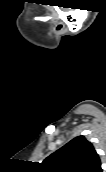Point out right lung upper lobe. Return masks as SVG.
<instances>
[{
  "mask_svg": "<svg viewBox=\"0 0 106 172\" xmlns=\"http://www.w3.org/2000/svg\"><path fill=\"white\" fill-rule=\"evenodd\" d=\"M45 172H103L92 143L78 136L48 156L41 165Z\"/></svg>",
  "mask_w": 106,
  "mask_h": 172,
  "instance_id": "right-lung-upper-lobe-1",
  "label": "right lung upper lobe"
}]
</instances>
